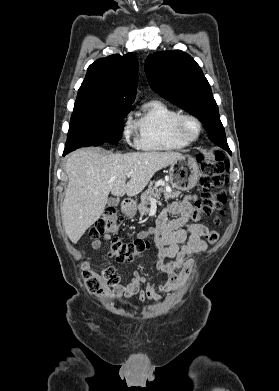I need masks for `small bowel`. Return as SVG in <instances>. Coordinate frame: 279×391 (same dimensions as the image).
<instances>
[{
	"instance_id": "small-bowel-1",
	"label": "small bowel",
	"mask_w": 279,
	"mask_h": 391,
	"mask_svg": "<svg viewBox=\"0 0 279 391\" xmlns=\"http://www.w3.org/2000/svg\"><path fill=\"white\" fill-rule=\"evenodd\" d=\"M195 201L196 196L189 195L182 201L169 203L159 214L156 226L137 235V238L153 235L158 249L155 267L163 272L166 278L153 283L138 271H133L131 281L116 289L117 296L129 300L132 296L138 295L141 303H153L160 301L159 292H173L183 287L192 271L191 255L207 250V235L212 232L202 223H189L190 219H194L192 202ZM169 214L176 218L168 220ZM108 239V236H104L95 240L92 243L93 249H99L102 241ZM84 267H88L87 262L84 263Z\"/></svg>"
}]
</instances>
